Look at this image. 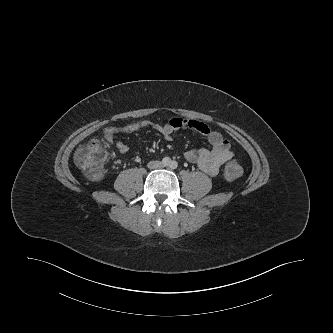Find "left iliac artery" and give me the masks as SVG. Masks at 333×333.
<instances>
[{
	"instance_id": "left-iliac-artery-1",
	"label": "left iliac artery",
	"mask_w": 333,
	"mask_h": 333,
	"mask_svg": "<svg viewBox=\"0 0 333 333\" xmlns=\"http://www.w3.org/2000/svg\"><path fill=\"white\" fill-rule=\"evenodd\" d=\"M178 167V163L176 162V161H172L171 163H170V168L171 169H176Z\"/></svg>"
}]
</instances>
